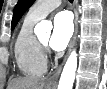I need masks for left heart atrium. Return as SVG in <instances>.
I'll use <instances>...</instances> for the list:
<instances>
[{"instance_id":"obj_1","label":"left heart atrium","mask_w":107,"mask_h":89,"mask_svg":"<svg viewBox=\"0 0 107 89\" xmlns=\"http://www.w3.org/2000/svg\"><path fill=\"white\" fill-rule=\"evenodd\" d=\"M73 33V23L70 14L66 11L58 13L53 21V31L50 46L55 51L66 48Z\"/></svg>"}]
</instances>
